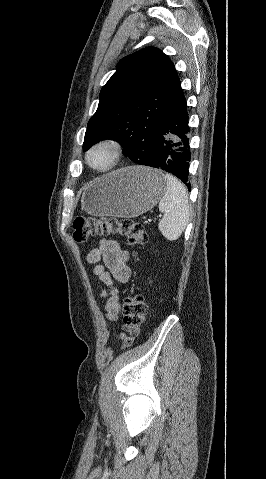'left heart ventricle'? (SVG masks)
Returning <instances> with one entry per match:
<instances>
[{
    "instance_id": "obj_1",
    "label": "left heart ventricle",
    "mask_w": 266,
    "mask_h": 479,
    "mask_svg": "<svg viewBox=\"0 0 266 479\" xmlns=\"http://www.w3.org/2000/svg\"><path fill=\"white\" fill-rule=\"evenodd\" d=\"M94 164L98 166H105L108 162V155L104 151H100L93 156Z\"/></svg>"
}]
</instances>
